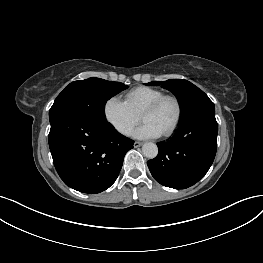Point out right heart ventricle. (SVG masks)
Returning a JSON list of instances; mask_svg holds the SVG:
<instances>
[{"label": "right heart ventricle", "instance_id": "1", "mask_svg": "<svg viewBox=\"0 0 263 263\" xmlns=\"http://www.w3.org/2000/svg\"><path fill=\"white\" fill-rule=\"evenodd\" d=\"M162 95H164V92L159 89L148 86H140L128 91L125 94V102L135 113L139 115L147 104Z\"/></svg>", "mask_w": 263, "mask_h": 263}]
</instances>
